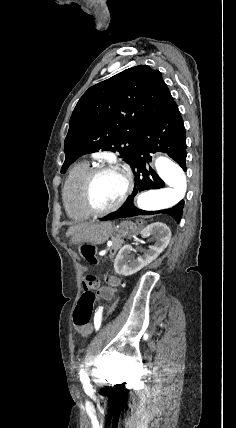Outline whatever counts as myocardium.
I'll use <instances>...</instances> for the list:
<instances>
[{
    "label": "myocardium",
    "mask_w": 236,
    "mask_h": 428,
    "mask_svg": "<svg viewBox=\"0 0 236 428\" xmlns=\"http://www.w3.org/2000/svg\"><path fill=\"white\" fill-rule=\"evenodd\" d=\"M113 169L121 170L124 173L127 181L126 191L122 196V198L117 203L107 207H100L96 205L95 202L93 201L92 194H91L92 184L98 175H100L105 171L113 170ZM134 187H135V183H134L133 172L126 163L116 162V161L101 163L91 168L82 182V185H81L82 203L84 207L94 215L111 213L120 209L127 202V200L133 194Z\"/></svg>",
    "instance_id": "myocardium-1"
}]
</instances>
